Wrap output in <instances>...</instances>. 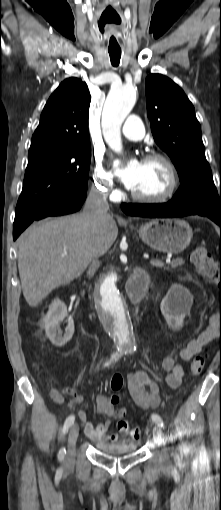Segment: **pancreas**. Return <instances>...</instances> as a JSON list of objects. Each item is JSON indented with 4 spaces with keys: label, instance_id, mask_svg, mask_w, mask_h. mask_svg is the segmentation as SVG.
Returning <instances> with one entry per match:
<instances>
[{
    "label": "pancreas",
    "instance_id": "pancreas-1",
    "mask_svg": "<svg viewBox=\"0 0 221 510\" xmlns=\"http://www.w3.org/2000/svg\"><path fill=\"white\" fill-rule=\"evenodd\" d=\"M183 264H184L183 259L178 258V259L173 260V261L170 263V266H164V267H163V269L168 270V269H170V268H176V267L181 266V265H183Z\"/></svg>",
    "mask_w": 221,
    "mask_h": 510
}]
</instances>
